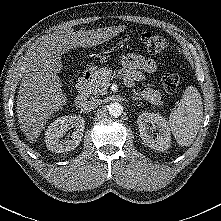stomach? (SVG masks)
Returning <instances> with one entry per match:
<instances>
[{
	"label": "stomach",
	"instance_id": "0dacf381",
	"mask_svg": "<svg viewBox=\"0 0 221 221\" xmlns=\"http://www.w3.org/2000/svg\"><path fill=\"white\" fill-rule=\"evenodd\" d=\"M90 70H91V71H95V67H94V66H91V67H90Z\"/></svg>",
	"mask_w": 221,
	"mask_h": 221
}]
</instances>
